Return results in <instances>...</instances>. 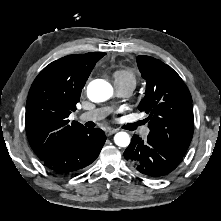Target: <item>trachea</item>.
Returning <instances> with one entry per match:
<instances>
[{
  "mask_svg": "<svg viewBox=\"0 0 221 221\" xmlns=\"http://www.w3.org/2000/svg\"><path fill=\"white\" fill-rule=\"evenodd\" d=\"M142 124V122H140V121H138V122H136V123H133V129H135L137 126H139V125H141Z\"/></svg>",
  "mask_w": 221,
  "mask_h": 221,
  "instance_id": "trachea-1",
  "label": "trachea"
}]
</instances>
